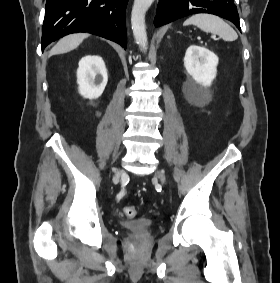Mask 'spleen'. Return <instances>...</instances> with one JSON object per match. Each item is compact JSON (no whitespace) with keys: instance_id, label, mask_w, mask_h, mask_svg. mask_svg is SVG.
Instances as JSON below:
<instances>
[{"instance_id":"spleen-1","label":"spleen","mask_w":280,"mask_h":283,"mask_svg":"<svg viewBox=\"0 0 280 283\" xmlns=\"http://www.w3.org/2000/svg\"><path fill=\"white\" fill-rule=\"evenodd\" d=\"M184 26L194 25L205 32L218 35L224 41H235L238 38L235 30L221 18L211 14H195L186 19Z\"/></svg>"}]
</instances>
